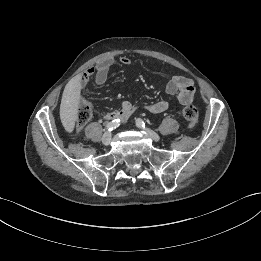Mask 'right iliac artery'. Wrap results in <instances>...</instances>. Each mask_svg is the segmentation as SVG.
Returning a JSON list of instances; mask_svg holds the SVG:
<instances>
[{
	"instance_id": "1",
	"label": "right iliac artery",
	"mask_w": 261,
	"mask_h": 261,
	"mask_svg": "<svg viewBox=\"0 0 261 261\" xmlns=\"http://www.w3.org/2000/svg\"><path fill=\"white\" fill-rule=\"evenodd\" d=\"M119 125H120V120H119V119H115V120L109 122V123L106 125V129H107L108 131H112L113 129L117 128Z\"/></svg>"
}]
</instances>
